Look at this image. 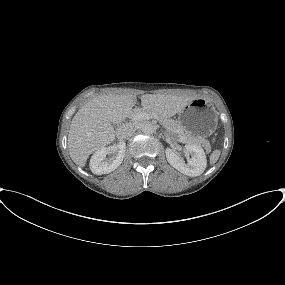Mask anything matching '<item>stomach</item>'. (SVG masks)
<instances>
[{
    "instance_id": "0dacf381",
    "label": "stomach",
    "mask_w": 285,
    "mask_h": 285,
    "mask_svg": "<svg viewBox=\"0 0 285 285\" xmlns=\"http://www.w3.org/2000/svg\"><path fill=\"white\" fill-rule=\"evenodd\" d=\"M177 123L188 136L206 138L216 130L218 114L211 101L195 98L179 111Z\"/></svg>"
}]
</instances>
